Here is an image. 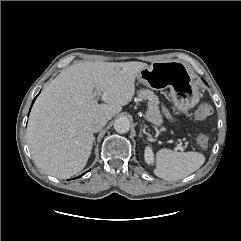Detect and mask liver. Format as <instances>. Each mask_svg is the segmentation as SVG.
Masks as SVG:
<instances>
[{
    "mask_svg": "<svg viewBox=\"0 0 241 241\" xmlns=\"http://www.w3.org/2000/svg\"><path fill=\"white\" fill-rule=\"evenodd\" d=\"M143 62H83L63 70L41 92L30 113L27 141L39 168L60 179L80 172L90 157L92 122L112 119L135 93ZM101 99L102 104L98 103Z\"/></svg>",
    "mask_w": 241,
    "mask_h": 241,
    "instance_id": "obj_1",
    "label": "liver"
}]
</instances>
